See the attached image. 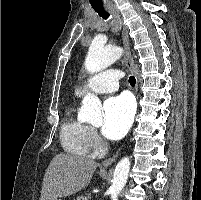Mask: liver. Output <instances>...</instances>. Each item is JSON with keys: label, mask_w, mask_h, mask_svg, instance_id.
<instances>
[{"label": "liver", "mask_w": 201, "mask_h": 200, "mask_svg": "<svg viewBox=\"0 0 201 200\" xmlns=\"http://www.w3.org/2000/svg\"><path fill=\"white\" fill-rule=\"evenodd\" d=\"M97 163L87 157L58 154L51 160L42 183L40 200L73 195L91 181Z\"/></svg>", "instance_id": "1"}]
</instances>
